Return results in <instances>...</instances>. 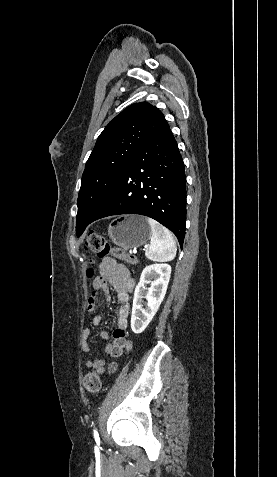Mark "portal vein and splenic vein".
Returning a JSON list of instances; mask_svg holds the SVG:
<instances>
[{
	"instance_id": "1",
	"label": "portal vein and splenic vein",
	"mask_w": 277,
	"mask_h": 477,
	"mask_svg": "<svg viewBox=\"0 0 277 477\" xmlns=\"http://www.w3.org/2000/svg\"><path fill=\"white\" fill-rule=\"evenodd\" d=\"M136 252H137V250H136V249H134V250H133V253L135 254Z\"/></svg>"
}]
</instances>
